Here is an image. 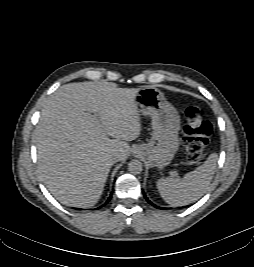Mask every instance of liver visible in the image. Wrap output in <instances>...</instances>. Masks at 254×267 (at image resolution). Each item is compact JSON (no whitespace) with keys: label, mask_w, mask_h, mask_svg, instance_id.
Segmentation results:
<instances>
[{"label":"liver","mask_w":254,"mask_h":267,"mask_svg":"<svg viewBox=\"0 0 254 267\" xmlns=\"http://www.w3.org/2000/svg\"><path fill=\"white\" fill-rule=\"evenodd\" d=\"M138 91L112 82H80L62 85L47 98L33 133L37 172L62 204L90 207L98 202L113 157L124 161L127 142L141 134Z\"/></svg>","instance_id":"liver-1"}]
</instances>
